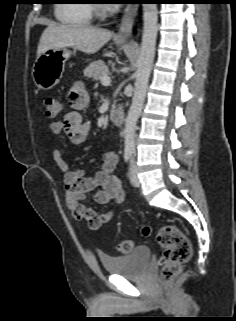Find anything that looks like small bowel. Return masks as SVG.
<instances>
[{
  "label": "small bowel",
  "instance_id": "obj_1",
  "mask_svg": "<svg viewBox=\"0 0 236 321\" xmlns=\"http://www.w3.org/2000/svg\"><path fill=\"white\" fill-rule=\"evenodd\" d=\"M67 99L72 110L62 119L53 121L50 128L55 135H66L73 143L80 144L87 139L91 128L81 115L88 105L89 94L82 87L75 86L68 92ZM53 156L63 174L64 201L73 217L77 221H85L92 229L108 223L114 215L113 210L98 213L82 204V200L90 193L98 204H120L124 200L125 193L115 174L117 153L109 151L104 155L103 167L94 177H85L81 169H70L63 159L62 150H55Z\"/></svg>",
  "mask_w": 236,
  "mask_h": 321
}]
</instances>
